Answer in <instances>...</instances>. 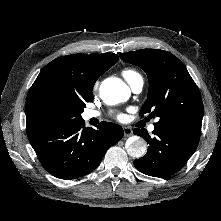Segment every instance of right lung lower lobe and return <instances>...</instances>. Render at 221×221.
<instances>
[{
	"instance_id": "obj_1",
	"label": "right lung lower lobe",
	"mask_w": 221,
	"mask_h": 221,
	"mask_svg": "<svg viewBox=\"0 0 221 221\" xmlns=\"http://www.w3.org/2000/svg\"><path fill=\"white\" fill-rule=\"evenodd\" d=\"M28 139L42 166L60 179H73L93 171L107 149L124 135L121 126L101 122L97 129L84 120L68 125L40 126Z\"/></svg>"
}]
</instances>
